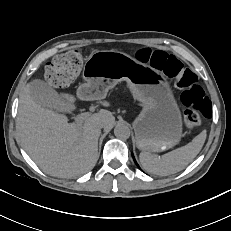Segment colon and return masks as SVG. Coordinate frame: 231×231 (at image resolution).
I'll return each instance as SVG.
<instances>
[{
    "label": "colon",
    "mask_w": 231,
    "mask_h": 231,
    "mask_svg": "<svg viewBox=\"0 0 231 231\" xmlns=\"http://www.w3.org/2000/svg\"><path fill=\"white\" fill-rule=\"evenodd\" d=\"M139 60L150 63L166 76L173 79L182 90L181 102L185 106L183 126L191 130L211 114V103L203 86L193 71L173 55L160 50L142 49L137 53ZM83 59L78 51H69L55 57L45 67V77L54 86H64L73 81L80 73Z\"/></svg>",
    "instance_id": "1"
}]
</instances>
